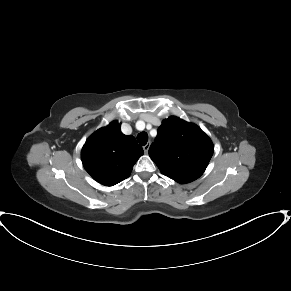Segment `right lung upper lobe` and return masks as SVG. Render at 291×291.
<instances>
[{"label":"right lung upper lobe","mask_w":291,"mask_h":291,"mask_svg":"<svg viewBox=\"0 0 291 291\" xmlns=\"http://www.w3.org/2000/svg\"><path fill=\"white\" fill-rule=\"evenodd\" d=\"M143 149L132 135H124L117 121L97 130L84 144L81 159L99 183L113 186L128 178Z\"/></svg>","instance_id":"obj_1"}]
</instances>
